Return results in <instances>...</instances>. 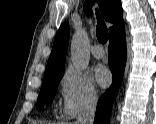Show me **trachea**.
<instances>
[{
	"instance_id": "trachea-1",
	"label": "trachea",
	"mask_w": 156,
	"mask_h": 124,
	"mask_svg": "<svg viewBox=\"0 0 156 124\" xmlns=\"http://www.w3.org/2000/svg\"><path fill=\"white\" fill-rule=\"evenodd\" d=\"M97 19H98L96 28L97 39L100 43L105 44L108 40V30L105 22L103 21L99 13H97Z\"/></svg>"
}]
</instances>
